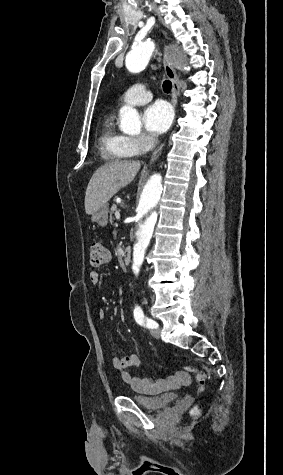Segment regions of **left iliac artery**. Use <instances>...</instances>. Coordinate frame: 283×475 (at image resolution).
I'll list each match as a JSON object with an SVG mask.
<instances>
[{
    "mask_svg": "<svg viewBox=\"0 0 283 475\" xmlns=\"http://www.w3.org/2000/svg\"><path fill=\"white\" fill-rule=\"evenodd\" d=\"M134 318H135V320L138 324L144 325L147 328H157L158 327V324L155 321H153L152 319H149V318L145 317L143 311L141 309H139L138 307H136L134 309Z\"/></svg>",
    "mask_w": 283,
    "mask_h": 475,
    "instance_id": "obj_1",
    "label": "left iliac artery"
}]
</instances>
